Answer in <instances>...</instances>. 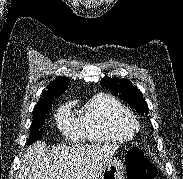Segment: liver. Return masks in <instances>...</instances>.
Instances as JSON below:
<instances>
[{
	"label": "liver",
	"mask_w": 183,
	"mask_h": 179,
	"mask_svg": "<svg viewBox=\"0 0 183 179\" xmlns=\"http://www.w3.org/2000/svg\"><path fill=\"white\" fill-rule=\"evenodd\" d=\"M117 150L115 144H59L48 150L44 142L37 141L27 148L17 179H97Z\"/></svg>",
	"instance_id": "obj_1"
}]
</instances>
